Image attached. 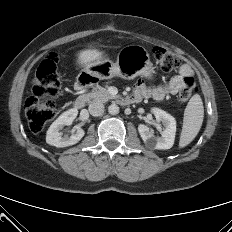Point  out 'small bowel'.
<instances>
[{"instance_id": "c3829d8e", "label": "small bowel", "mask_w": 232, "mask_h": 232, "mask_svg": "<svg viewBox=\"0 0 232 232\" xmlns=\"http://www.w3.org/2000/svg\"><path fill=\"white\" fill-rule=\"evenodd\" d=\"M193 70L189 64H183L180 67L179 75L174 76L157 86H148L143 81L139 80L134 86L133 95L142 98H153L156 100H162L168 95H175L179 92L183 85V79L185 77H191Z\"/></svg>"}]
</instances>
